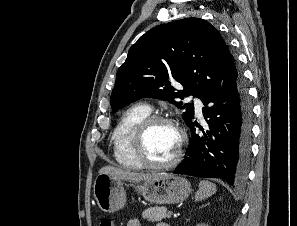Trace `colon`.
<instances>
[{"mask_svg": "<svg viewBox=\"0 0 297 226\" xmlns=\"http://www.w3.org/2000/svg\"><path fill=\"white\" fill-rule=\"evenodd\" d=\"M100 226H114V222L110 218H103L100 222Z\"/></svg>", "mask_w": 297, "mask_h": 226, "instance_id": "colon-1", "label": "colon"}]
</instances>
